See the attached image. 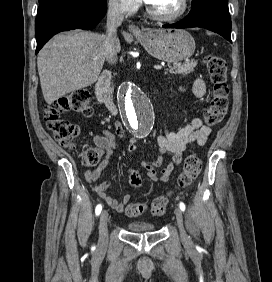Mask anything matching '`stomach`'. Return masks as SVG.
Returning <instances> with one entry per match:
<instances>
[{
  "mask_svg": "<svg viewBox=\"0 0 272 282\" xmlns=\"http://www.w3.org/2000/svg\"><path fill=\"white\" fill-rule=\"evenodd\" d=\"M135 37L150 55L168 63L188 59L195 51L193 37L182 29H143Z\"/></svg>",
  "mask_w": 272,
  "mask_h": 282,
  "instance_id": "obj_1",
  "label": "stomach"
}]
</instances>
